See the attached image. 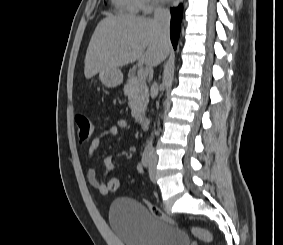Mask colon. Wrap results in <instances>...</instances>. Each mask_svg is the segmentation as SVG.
<instances>
[{
  "label": "colon",
  "mask_w": 283,
  "mask_h": 245,
  "mask_svg": "<svg viewBox=\"0 0 283 245\" xmlns=\"http://www.w3.org/2000/svg\"><path fill=\"white\" fill-rule=\"evenodd\" d=\"M76 123H77V135L79 142L80 143L87 142L91 138L94 130L90 118L85 114H79L76 116ZM118 187H119V181L117 178H111L108 180L107 182L108 192H115L117 191ZM146 205L155 217L169 224L178 225L176 221H174L172 218L166 215L158 206L149 202H147ZM189 230L194 236H196L197 238H199L200 240L206 243H210L213 240V236L211 232H209L204 228L191 226L189 227Z\"/></svg>",
  "instance_id": "1"
}]
</instances>
